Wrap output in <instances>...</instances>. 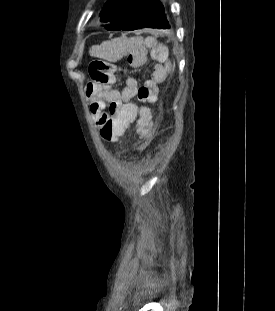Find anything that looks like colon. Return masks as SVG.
I'll return each mask as SVG.
<instances>
[{
    "instance_id": "5ec220e1",
    "label": "colon",
    "mask_w": 275,
    "mask_h": 311,
    "mask_svg": "<svg viewBox=\"0 0 275 311\" xmlns=\"http://www.w3.org/2000/svg\"><path fill=\"white\" fill-rule=\"evenodd\" d=\"M169 68L170 67H168L167 71H169ZM114 71V66L110 62L102 59L93 60L89 65V74L96 82L108 81L114 74ZM157 93L158 89L156 84L151 80H147L139 86L137 97L142 102L154 103L157 99ZM101 122V137L104 141L109 143L118 141L121 136L120 130L130 129L129 118L101 119Z\"/></svg>"
}]
</instances>
